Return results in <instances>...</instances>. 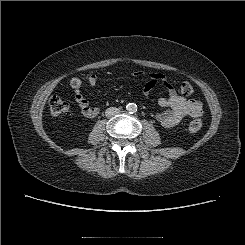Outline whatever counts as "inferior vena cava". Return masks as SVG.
<instances>
[{
	"mask_svg": "<svg viewBox=\"0 0 245 245\" xmlns=\"http://www.w3.org/2000/svg\"><path fill=\"white\" fill-rule=\"evenodd\" d=\"M118 113H120V110L116 107H110L105 111L106 117H113L117 115Z\"/></svg>",
	"mask_w": 245,
	"mask_h": 245,
	"instance_id": "602c4592",
	"label": "inferior vena cava"
}]
</instances>
